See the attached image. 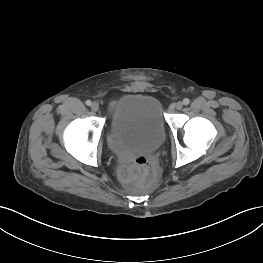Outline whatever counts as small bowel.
<instances>
[{
    "label": "small bowel",
    "instance_id": "obj_1",
    "mask_svg": "<svg viewBox=\"0 0 263 263\" xmlns=\"http://www.w3.org/2000/svg\"><path fill=\"white\" fill-rule=\"evenodd\" d=\"M122 161L124 163L128 162V159L126 157H122ZM121 177L125 181H129L132 177H134V173L131 170V166L124 165L120 171Z\"/></svg>",
    "mask_w": 263,
    "mask_h": 263
}]
</instances>
